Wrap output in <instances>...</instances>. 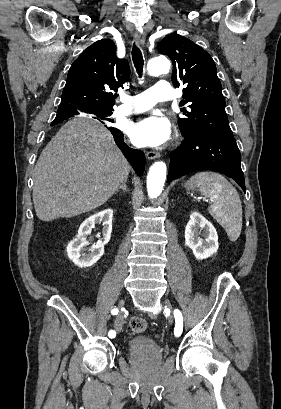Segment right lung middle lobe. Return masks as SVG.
<instances>
[{
  "instance_id": "obj_1",
  "label": "right lung middle lobe",
  "mask_w": 281,
  "mask_h": 409,
  "mask_svg": "<svg viewBox=\"0 0 281 409\" xmlns=\"http://www.w3.org/2000/svg\"><path fill=\"white\" fill-rule=\"evenodd\" d=\"M96 115L99 119L101 120H109L108 117L112 115V111H102V112H96ZM63 120H54L51 125H55L60 123Z\"/></svg>"
}]
</instances>
